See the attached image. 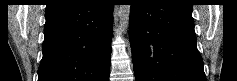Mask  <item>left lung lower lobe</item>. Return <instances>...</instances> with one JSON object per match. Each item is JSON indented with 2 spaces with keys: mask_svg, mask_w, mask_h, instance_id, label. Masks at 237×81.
I'll return each instance as SVG.
<instances>
[{
  "mask_svg": "<svg viewBox=\"0 0 237 81\" xmlns=\"http://www.w3.org/2000/svg\"><path fill=\"white\" fill-rule=\"evenodd\" d=\"M129 32L136 81H206L191 3L134 0Z\"/></svg>",
  "mask_w": 237,
  "mask_h": 81,
  "instance_id": "obj_1",
  "label": "left lung lower lobe"
}]
</instances>
